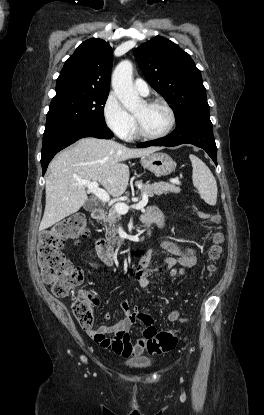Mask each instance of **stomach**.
I'll return each instance as SVG.
<instances>
[{
  "mask_svg": "<svg viewBox=\"0 0 264 415\" xmlns=\"http://www.w3.org/2000/svg\"><path fill=\"white\" fill-rule=\"evenodd\" d=\"M141 165L158 177L169 175L176 166L173 159L162 152L152 153L143 157L141 159Z\"/></svg>",
  "mask_w": 264,
  "mask_h": 415,
  "instance_id": "1",
  "label": "stomach"
}]
</instances>
